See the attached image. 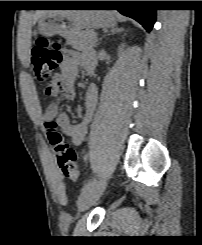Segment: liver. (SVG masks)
<instances>
[{"label": "liver", "instance_id": "liver-1", "mask_svg": "<svg viewBox=\"0 0 202 245\" xmlns=\"http://www.w3.org/2000/svg\"><path fill=\"white\" fill-rule=\"evenodd\" d=\"M58 13H61V14H72V13H79V12H82V11H70V10H66V11H56ZM47 11H44V10H39L35 13L34 15V23L40 19L44 14H46Z\"/></svg>", "mask_w": 202, "mask_h": 245}]
</instances>
